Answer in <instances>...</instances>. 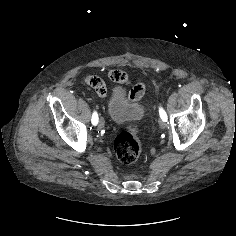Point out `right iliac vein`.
I'll return each mask as SVG.
<instances>
[{"mask_svg": "<svg viewBox=\"0 0 236 236\" xmlns=\"http://www.w3.org/2000/svg\"><path fill=\"white\" fill-rule=\"evenodd\" d=\"M104 124H105L104 119H103V118H100V119H99V126H100V127H103Z\"/></svg>", "mask_w": 236, "mask_h": 236, "instance_id": "1", "label": "right iliac vein"}]
</instances>
